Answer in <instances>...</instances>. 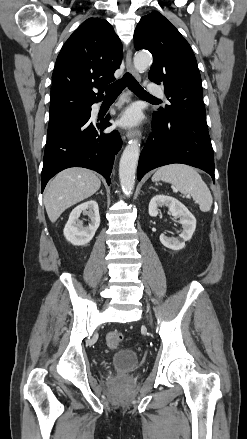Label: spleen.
Segmentation results:
<instances>
[{
	"instance_id": "spleen-1",
	"label": "spleen",
	"mask_w": 247,
	"mask_h": 439,
	"mask_svg": "<svg viewBox=\"0 0 247 439\" xmlns=\"http://www.w3.org/2000/svg\"><path fill=\"white\" fill-rule=\"evenodd\" d=\"M166 181L173 184L181 193L190 195L202 212H209L213 203L211 192L199 173L188 165L170 164L160 167L152 181Z\"/></svg>"
}]
</instances>
